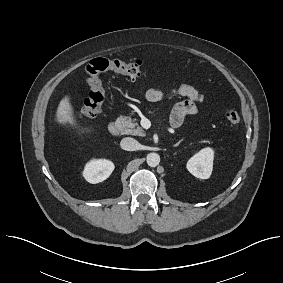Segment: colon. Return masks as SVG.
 <instances>
[{"label":"colon","instance_id":"5ec220e1","mask_svg":"<svg viewBox=\"0 0 283 283\" xmlns=\"http://www.w3.org/2000/svg\"><path fill=\"white\" fill-rule=\"evenodd\" d=\"M107 71L138 77L142 72V61L119 58H96L90 61L85 68L86 82L90 91L78 114L79 119L94 118L102 110L106 93L100 75ZM225 117L233 125L240 123V116L235 108L228 109L225 112Z\"/></svg>","mask_w":283,"mask_h":283}]
</instances>
